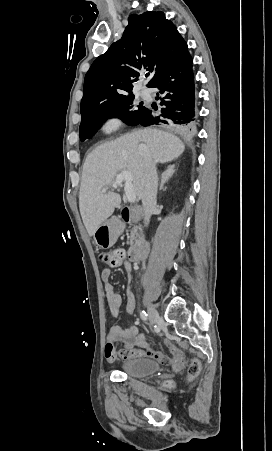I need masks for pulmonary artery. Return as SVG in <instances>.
I'll use <instances>...</instances> for the list:
<instances>
[{"label": "pulmonary artery", "mask_w": 272, "mask_h": 451, "mask_svg": "<svg viewBox=\"0 0 272 451\" xmlns=\"http://www.w3.org/2000/svg\"><path fill=\"white\" fill-rule=\"evenodd\" d=\"M139 95H140V97L142 98V99H144V100H149V99H151V94H150V92H148V91H146V90H142L140 93H139Z\"/></svg>", "instance_id": "obj_1"}]
</instances>
